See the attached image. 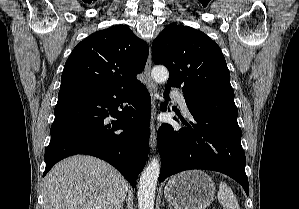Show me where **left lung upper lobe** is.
I'll use <instances>...</instances> for the list:
<instances>
[{
  "label": "left lung upper lobe",
  "instance_id": "1",
  "mask_svg": "<svg viewBox=\"0 0 299 209\" xmlns=\"http://www.w3.org/2000/svg\"><path fill=\"white\" fill-rule=\"evenodd\" d=\"M152 59L169 70L167 87L184 94L234 97L230 73L220 47L194 28L171 23L152 44Z\"/></svg>",
  "mask_w": 299,
  "mask_h": 209
}]
</instances>
